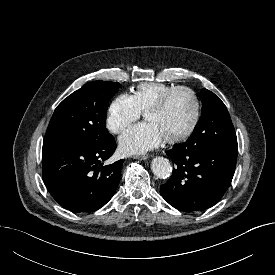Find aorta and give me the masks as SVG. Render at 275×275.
<instances>
[{
  "mask_svg": "<svg viewBox=\"0 0 275 275\" xmlns=\"http://www.w3.org/2000/svg\"><path fill=\"white\" fill-rule=\"evenodd\" d=\"M151 169L155 176L161 179L168 178L172 173V166L168 159L156 157L152 160Z\"/></svg>",
  "mask_w": 275,
  "mask_h": 275,
  "instance_id": "aorta-1",
  "label": "aorta"
}]
</instances>
